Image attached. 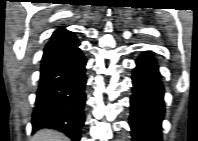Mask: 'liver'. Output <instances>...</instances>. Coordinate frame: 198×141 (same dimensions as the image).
Wrapping results in <instances>:
<instances>
[{"instance_id": "1", "label": "liver", "mask_w": 198, "mask_h": 141, "mask_svg": "<svg viewBox=\"0 0 198 141\" xmlns=\"http://www.w3.org/2000/svg\"><path fill=\"white\" fill-rule=\"evenodd\" d=\"M32 141H69V139L57 131L43 129L35 133Z\"/></svg>"}]
</instances>
